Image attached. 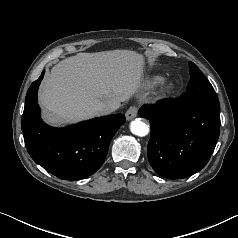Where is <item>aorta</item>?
Here are the masks:
<instances>
[{"label": "aorta", "instance_id": "obj_1", "mask_svg": "<svg viewBox=\"0 0 238 238\" xmlns=\"http://www.w3.org/2000/svg\"><path fill=\"white\" fill-rule=\"evenodd\" d=\"M130 130L134 135L143 137L149 133V127L141 119H135L130 124Z\"/></svg>", "mask_w": 238, "mask_h": 238}]
</instances>
